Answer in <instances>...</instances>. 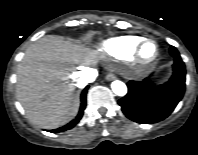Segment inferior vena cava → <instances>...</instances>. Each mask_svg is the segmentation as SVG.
I'll list each match as a JSON object with an SVG mask.
<instances>
[{
  "instance_id": "602c4592",
  "label": "inferior vena cava",
  "mask_w": 198,
  "mask_h": 155,
  "mask_svg": "<svg viewBox=\"0 0 198 155\" xmlns=\"http://www.w3.org/2000/svg\"><path fill=\"white\" fill-rule=\"evenodd\" d=\"M97 76L98 73L96 70L87 68L84 71H82V75L80 77L84 83H89L93 82Z\"/></svg>"
}]
</instances>
